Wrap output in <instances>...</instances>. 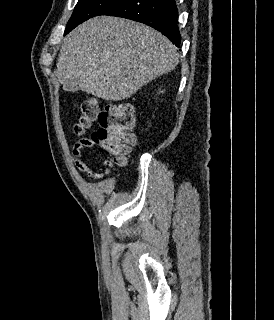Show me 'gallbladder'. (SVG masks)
Masks as SVG:
<instances>
[{
  "label": "gallbladder",
  "mask_w": 274,
  "mask_h": 320,
  "mask_svg": "<svg viewBox=\"0 0 274 320\" xmlns=\"http://www.w3.org/2000/svg\"><path fill=\"white\" fill-rule=\"evenodd\" d=\"M70 83H71V89H76L77 80L75 78H72L70 80Z\"/></svg>",
  "instance_id": "bac80fb5"
}]
</instances>
